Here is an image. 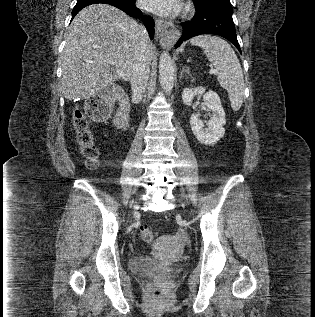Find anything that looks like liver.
I'll return each instance as SVG.
<instances>
[{
    "instance_id": "obj_1",
    "label": "liver",
    "mask_w": 315,
    "mask_h": 317,
    "mask_svg": "<svg viewBox=\"0 0 315 317\" xmlns=\"http://www.w3.org/2000/svg\"><path fill=\"white\" fill-rule=\"evenodd\" d=\"M143 34L137 21L113 6L96 4L81 10L65 34L61 78L64 97H93L112 81L113 67L122 71V79L130 80ZM148 53L152 61L156 52L150 42Z\"/></svg>"
}]
</instances>
